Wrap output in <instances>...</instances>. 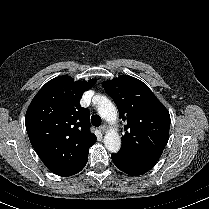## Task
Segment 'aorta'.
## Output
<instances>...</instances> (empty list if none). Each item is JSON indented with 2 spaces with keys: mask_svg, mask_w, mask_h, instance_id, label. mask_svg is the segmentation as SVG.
<instances>
[{
  "mask_svg": "<svg viewBox=\"0 0 209 209\" xmlns=\"http://www.w3.org/2000/svg\"><path fill=\"white\" fill-rule=\"evenodd\" d=\"M97 111L99 115L110 123L117 120V108L115 105L103 95H96ZM104 144L108 151L117 153L121 148V138L117 131L110 130L104 136Z\"/></svg>",
  "mask_w": 209,
  "mask_h": 209,
  "instance_id": "obj_1",
  "label": "aorta"
}]
</instances>
